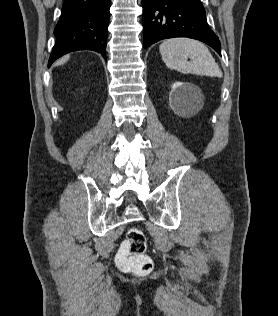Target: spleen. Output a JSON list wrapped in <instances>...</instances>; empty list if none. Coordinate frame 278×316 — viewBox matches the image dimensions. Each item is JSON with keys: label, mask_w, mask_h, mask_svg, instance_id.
Wrapping results in <instances>:
<instances>
[{"label": "spleen", "mask_w": 278, "mask_h": 316, "mask_svg": "<svg viewBox=\"0 0 278 316\" xmlns=\"http://www.w3.org/2000/svg\"><path fill=\"white\" fill-rule=\"evenodd\" d=\"M162 59L170 69L181 73L222 77V71L209 49L189 38L165 40L159 47ZM189 58L190 61H186Z\"/></svg>", "instance_id": "spleen-1"}]
</instances>
